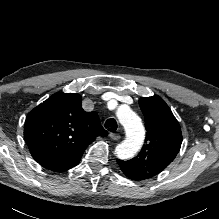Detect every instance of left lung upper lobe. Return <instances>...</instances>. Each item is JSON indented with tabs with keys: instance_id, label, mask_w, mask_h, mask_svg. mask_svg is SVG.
I'll return each mask as SVG.
<instances>
[{
	"instance_id": "left-lung-upper-lobe-1",
	"label": "left lung upper lobe",
	"mask_w": 219,
	"mask_h": 219,
	"mask_svg": "<svg viewBox=\"0 0 219 219\" xmlns=\"http://www.w3.org/2000/svg\"><path fill=\"white\" fill-rule=\"evenodd\" d=\"M139 106L147 130L145 145L133 159L117 160V163L124 173L144 180L158 175L175 159L181 147L182 133L170 108L159 96L141 97Z\"/></svg>"
}]
</instances>
